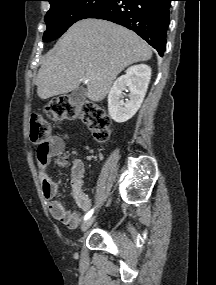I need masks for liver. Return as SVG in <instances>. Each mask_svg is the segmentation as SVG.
I'll return each instance as SVG.
<instances>
[{
	"label": "liver",
	"instance_id": "liver-1",
	"mask_svg": "<svg viewBox=\"0 0 216 285\" xmlns=\"http://www.w3.org/2000/svg\"><path fill=\"white\" fill-rule=\"evenodd\" d=\"M151 57L149 45L133 31L108 21L84 19L73 24L46 56L35 82L37 94L45 100L85 82L87 97L99 102L123 69Z\"/></svg>",
	"mask_w": 216,
	"mask_h": 285
}]
</instances>
